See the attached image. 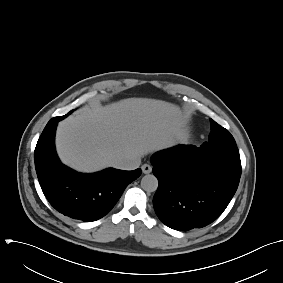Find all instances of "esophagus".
Returning a JSON list of instances; mask_svg holds the SVG:
<instances>
[{
  "mask_svg": "<svg viewBox=\"0 0 283 283\" xmlns=\"http://www.w3.org/2000/svg\"><path fill=\"white\" fill-rule=\"evenodd\" d=\"M141 170L144 174H149L152 171V167L149 164H143Z\"/></svg>",
  "mask_w": 283,
  "mask_h": 283,
  "instance_id": "34e87169",
  "label": "esophagus"
}]
</instances>
